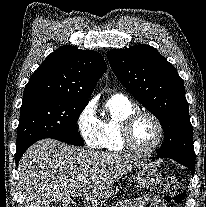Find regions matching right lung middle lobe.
I'll return each instance as SVG.
<instances>
[{
    "mask_svg": "<svg viewBox=\"0 0 206 207\" xmlns=\"http://www.w3.org/2000/svg\"><path fill=\"white\" fill-rule=\"evenodd\" d=\"M86 105L84 102L48 96L23 101L16 149H27L44 138L83 146L76 122Z\"/></svg>",
    "mask_w": 206,
    "mask_h": 207,
    "instance_id": "dd1d6c3e",
    "label": "right lung middle lobe"
}]
</instances>
